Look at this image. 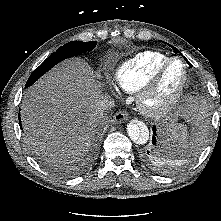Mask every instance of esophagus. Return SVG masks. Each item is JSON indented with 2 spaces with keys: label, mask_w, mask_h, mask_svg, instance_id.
<instances>
[{
  "label": "esophagus",
  "mask_w": 221,
  "mask_h": 221,
  "mask_svg": "<svg viewBox=\"0 0 221 221\" xmlns=\"http://www.w3.org/2000/svg\"><path fill=\"white\" fill-rule=\"evenodd\" d=\"M128 119V115L125 111H118L115 115H114V121L115 122H122L124 120Z\"/></svg>",
  "instance_id": "esophagus-1"
}]
</instances>
